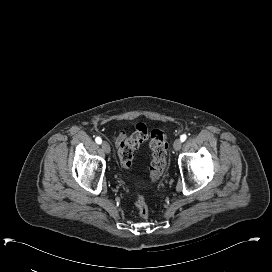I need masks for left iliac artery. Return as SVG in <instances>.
Returning a JSON list of instances; mask_svg holds the SVG:
<instances>
[{"mask_svg": "<svg viewBox=\"0 0 272 272\" xmlns=\"http://www.w3.org/2000/svg\"><path fill=\"white\" fill-rule=\"evenodd\" d=\"M186 138H187L186 134H183L180 137V139H181L182 142H184L186 140Z\"/></svg>", "mask_w": 272, "mask_h": 272, "instance_id": "left-iliac-artery-1", "label": "left iliac artery"}]
</instances>
